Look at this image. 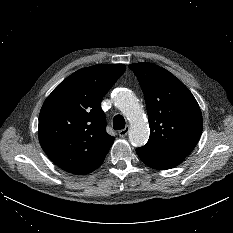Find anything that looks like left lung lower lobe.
<instances>
[{
  "label": "left lung lower lobe",
  "instance_id": "0a47b994",
  "mask_svg": "<svg viewBox=\"0 0 233 233\" xmlns=\"http://www.w3.org/2000/svg\"><path fill=\"white\" fill-rule=\"evenodd\" d=\"M139 158L149 167L157 170H165L179 165L185 157L175 155H165L154 152L144 147L136 149Z\"/></svg>",
  "mask_w": 233,
  "mask_h": 233
}]
</instances>
